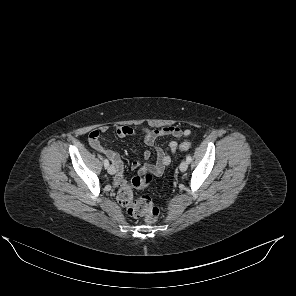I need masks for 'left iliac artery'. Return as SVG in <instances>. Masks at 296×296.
I'll return each instance as SVG.
<instances>
[{
    "label": "left iliac artery",
    "instance_id": "obj_1",
    "mask_svg": "<svg viewBox=\"0 0 296 296\" xmlns=\"http://www.w3.org/2000/svg\"><path fill=\"white\" fill-rule=\"evenodd\" d=\"M186 161L190 163L192 161V157L190 155L187 156Z\"/></svg>",
    "mask_w": 296,
    "mask_h": 296
}]
</instances>
